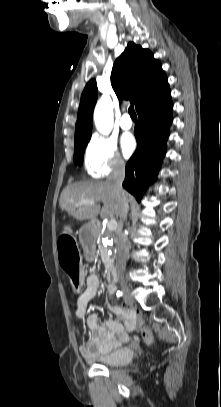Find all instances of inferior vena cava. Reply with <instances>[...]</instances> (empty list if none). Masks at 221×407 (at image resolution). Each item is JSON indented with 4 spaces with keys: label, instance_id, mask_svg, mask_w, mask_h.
<instances>
[{
    "label": "inferior vena cava",
    "instance_id": "1",
    "mask_svg": "<svg viewBox=\"0 0 221 407\" xmlns=\"http://www.w3.org/2000/svg\"><path fill=\"white\" fill-rule=\"evenodd\" d=\"M125 177V164L122 160L115 161L111 174L107 179V183L113 188V191L120 203V218L122 221L127 219L129 205L127 196L123 190L122 183ZM129 254V242L126 234L122 231L118 236V248L116 258V268L118 273H122L125 270L126 260Z\"/></svg>",
    "mask_w": 221,
    "mask_h": 407
}]
</instances>
